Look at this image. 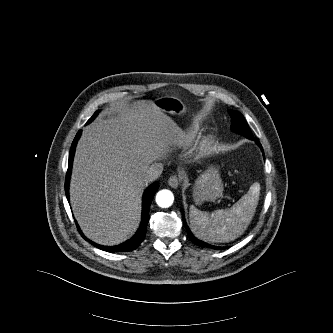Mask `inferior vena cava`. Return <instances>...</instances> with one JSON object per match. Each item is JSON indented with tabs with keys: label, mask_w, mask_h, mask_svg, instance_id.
Wrapping results in <instances>:
<instances>
[{
	"label": "inferior vena cava",
	"mask_w": 333,
	"mask_h": 333,
	"mask_svg": "<svg viewBox=\"0 0 333 333\" xmlns=\"http://www.w3.org/2000/svg\"><path fill=\"white\" fill-rule=\"evenodd\" d=\"M163 171V165L161 163L152 164L145 174V180L147 182L154 181L160 177Z\"/></svg>",
	"instance_id": "602c4592"
}]
</instances>
